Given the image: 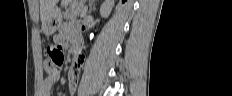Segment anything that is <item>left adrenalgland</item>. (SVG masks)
<instances>
[{
	"instance_id": "left-adrenal-gland-1",
	"label": "left adrenal gland",
	"mask_w": 232,
	"mask_h": 96,
	"mask_svg": "<svg viewBox=\"0 0 232 96\" xmlns=\"http://www.w3.org/2000/svg\"><path fill=\"white\" fill-rule=\"evenodd\" d=\"M92 12V5H90V9H89V13H91Z\"/></svg>"
}]
</instances>
